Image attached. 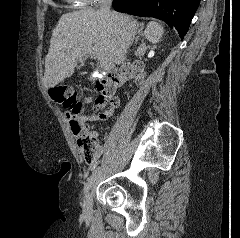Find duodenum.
Wrapping results in <instances>:
<instances>
[{
  "label": "duodenum",
  "instance_id": "1",
  "mask_svg": "<svg viewBox=\"0 0 240 238\" xmlns=\"http://www.w3.org/2000/svg\"><path fill=\"white\" fill-rule=\"evenodd\" d=\"M129 65H125L123 68H127Z\"/></svg>",
  "mask_w": 240,
  "mask_h": 238
}]
</instances>
